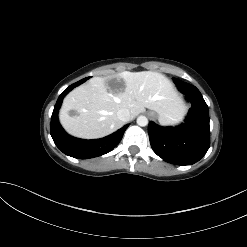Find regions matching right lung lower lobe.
I'll use <instances>...</instances> for the list:
<instances>
[{
	"mask_svg": "<svg viewBox=\"0 0 247 247\" xmlns=\"http://www.w3.org/2000/svg\"><path fill=\"white\" fill-rule=\"evenodd\" d=\"M84 78L72 85H70L58 98L51 117L50 134L56 146L66 155L77 159H88L101 156L113 150L122 139V136L127 129L125 125L113 134L101 139L84 140L68 135L58 120V110L62 104L65 95L74 87L85 82Z\"/></svg>",
	"mask_w": 247,
	"mask_h": 247,
	"instance_id": "obj_1",
	"label": "right lung lower lobe"
}]
</instances>
